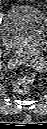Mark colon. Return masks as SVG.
Segmentation results:
<instances>
[{
  "label": "colon",
  "instance_id": "colon-1",
  "mask_svg": "<svg viewBox=\"0 0 47 129\" xmlns=\"http://www.w3.org/2000/svg\"><path fill=\"white\" fill-rule=\"evenodd\" d=\"M31 77L28 74L19 76L15 81V89L20 93H26L31 87Z\"/></svg>",
  "mask_w": 47,
  "mask_h": 129
}]
</instances>
